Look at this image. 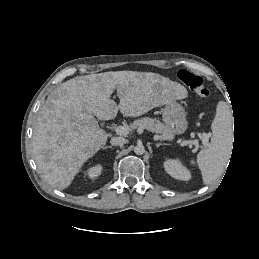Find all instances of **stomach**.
<instances>
[{"label":"stomach","mask_w":259,"mask_h":259,"mask_svg":"<svg viewBox=\"0 0 259 259\" xmlns=\"http://www.w3.org/2000/svg\"><path fill=\"white\" fill-rule=\"evenodd\" d=\"M162 118L165 126L169 128L173 134H183L188 128L185 110L176 101L167 104L163 108Z\"/></svg>","instance_id":"1"}]
</instances>
